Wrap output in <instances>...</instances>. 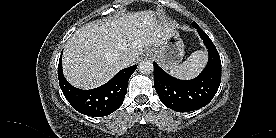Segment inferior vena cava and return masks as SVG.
<instances>
[{
	"instance_id": "inferior-vena-cava-1",
	"label": "inferior vena cava",
	"mask_w": 276,
	"mask_h": 138,
	"mask_svg": "<svg viewBox=\"0 0 276 138\" xmlns=\"http://www.w3.org/2000/svg\"><path fill=\"white\" fill-rule=\"evenodd\" d=\"M119 61L123 66H129L133 63V58L127 53H122L119 55Z\"/></svg>"
}]
</instances>
